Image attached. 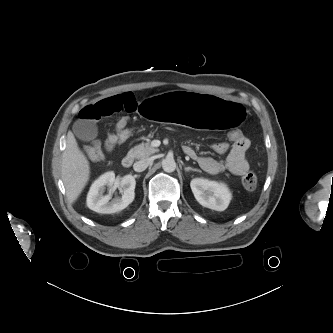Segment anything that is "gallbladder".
<instances>
[{
    "label": "gallbladder",
    "mask_w": 333,
    "mask_h": 333,
    "mask_svg": "<svg viewBox=\"0 0 333 333\" xmlns=\"http://www.w3.org/2000/svg\"><path fill=\"white\" fill-rule=\"evenodd\" d=\"M74 134L81 140H90L97 134V127L86 120H78L73 125Z\"/></svg>",
    "instance_id": "gallbladder-1"
}]
</instances>
